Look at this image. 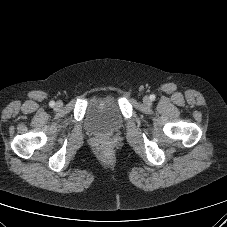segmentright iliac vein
I'll list each match as a JSON object with an SVG mask.
<instances>
[{
  "label": "right iliac vein",
  "instance_id": "obj_1",
  "mask_svg": "<svg viewBox=\"0 0 227 227\" xmlns=\"http://www.w3.org/2000/svg\"><path fill=\"white\" fill-rule=\"evenodd\" d=\"M61 106H62V103L60 101L56 103L57 108H60Z\"/></svg>",
  "mask_w": 227,
  "mask_h": 227
}]
</instances>
